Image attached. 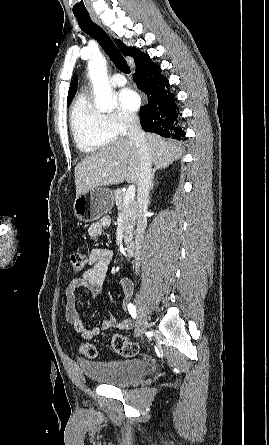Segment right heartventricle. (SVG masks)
<instances>
[{
  "label": "right heart ventricle",
  "mask_w": 269,
  "mask_h": 445,
  "mask_svg": "<svg viewBox=\"0 0 269 445\" xmlns=\"http://www.w3.org/2000/svg\"><path fill=\"white\" fill-rule=\"evenodd\" d=\"M70 127L76 147L86 154L97 152L116 139L105 115L92 106L85 91L77 96L72 105Z\"/></svg>",
  "instance_id": "e07e8e85"
}]
</instances>
